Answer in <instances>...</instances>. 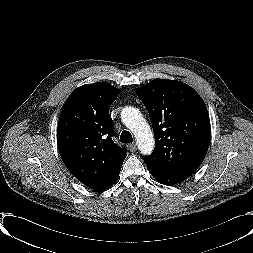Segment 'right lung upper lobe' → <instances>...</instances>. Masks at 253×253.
<instances>
[{
    "instance_id": "1",
    "label": "right lung upper lobe",
    "mask_w": 253,
    "mask_h": 253,
    "mask_svg": "<svg viewBox=\"0 0 253 253\" xmlns=\"http://www.w3.org/2000/svg\"><path fill=\"white\" fill-rule=\"evenodd\" d=\"M118 94L106 82L83 85L70 94L59 118L57 143L65 166L97 191L117 181L126 157V149L112 141L109 108Z\"/></svg>"
}]
</instances>
